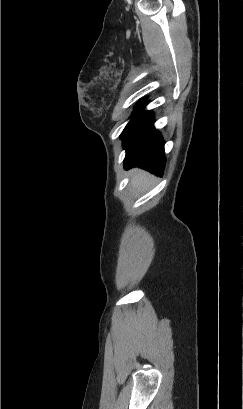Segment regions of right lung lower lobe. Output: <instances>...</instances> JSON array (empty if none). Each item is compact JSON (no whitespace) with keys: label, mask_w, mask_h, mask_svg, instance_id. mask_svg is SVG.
I'll return each mask as SVG.
<instances>
[{"label":"right lung lower lobe","mask_w":243,"mask_h":409,"mask_svg":"<svg viewBox=\"0 0 243 409\" xmlns=\"http://www.w3.org/2000/svg\"><path fill=\"white\" fill-rule=\"evenodd\" d=\"M140 107L121 134L126 149L124 166L126 169L141 167L151 173L163 174L165 157L164 141L153 127V113Z\"/></svg>","instance_id":"right-lung-lower-lobe-1"}]
</instances>
